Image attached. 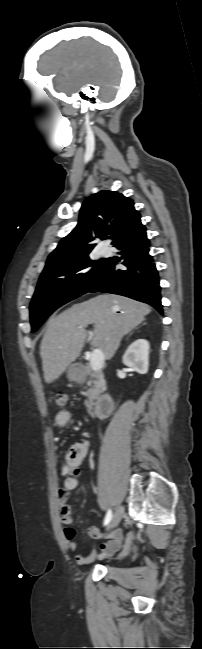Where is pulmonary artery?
Segmentation results:
<instances>
[{
    "label": "pulmonary artery",
    "instance_id": "1",
    "mask_svg": "<svg viewBox=\"0 0 202 649\" xmlns=\"http://www.w3.org/2000/svg\"><path fill=\"white\" fill-rule=\"evenodd\" d=\"M100 253H101V255L105 256V255H107L109 253V250H108L107 247H102L100 249Z\"/></svg>",
    "mask_w": 202,
    "mask_h": 649
}]
</instances>
